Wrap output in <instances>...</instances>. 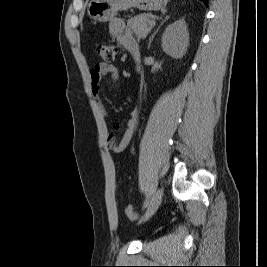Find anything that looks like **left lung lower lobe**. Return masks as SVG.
I'll use <instances>...</instances> for the list:
<instances>
[{
    "instance_id": "0a47b994",
    "label": "left lung lower lobe",
    "mask_w": 267,
    "mask_h": 267,
    "mask_svg": "<svg viewBox=\"0 0 267 267\" xmlns=\"http://www.w3.org/2000/svg\"><path fill=\"white\" fill-rule=\"evenodd\" d=\"M205 5H207L208 0H201Z\"/></svg>"
}]
</instances>
